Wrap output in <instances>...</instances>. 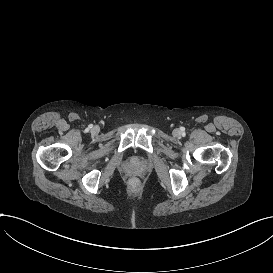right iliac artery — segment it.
I'll list each match as a JSON object with an SVG mask.
<instances>
[{"label":"right iliac artery","instance_id":"82829eb1","mask_svg":"<svg viewBox=\"0 0 273 273\" xmlns=\"http://www.w3.org/2000/svg\"><path fill=\"white\" fill-rule=\"evenodd\" d=\"M92 127H93L92 125H89V126H88V129H91Z\"/></svg>","mask_w":273,"mask_h":273}]
</instances>
